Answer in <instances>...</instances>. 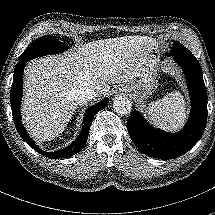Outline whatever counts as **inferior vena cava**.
<instances>
[{"mask_svg": "<svg viewBox=\"0 0 215 215\" xmlns=\"http://www.w3.org/2000/svg\"><path fill=\"white\" fill-rule=\"evenodd\" d=\"M99 96V93L93 88L81 87L75 91L74 100L78 105H85L88 101Z\"/></svg>", "mask_w": 215, "mask_h": 215, "instance_id": "602c4592", "label": "inferior vena cava"}]
</instances>
